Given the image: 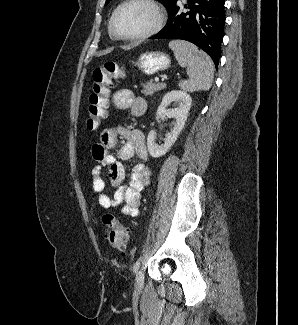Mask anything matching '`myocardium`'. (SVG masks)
Masks as SVG:
<instances>
[{
  "instance_id": "1",
  "label": "myocardium",
  "mask_w": 298,
  "mask_h": 325,
  "mask_svg": "<svg viewBox=\"0 0 298 325\" xmlns=\"http://www.w3.org/2000/svg\"><path fill=\"white\" fill-rule=\"evenodd\" d=\"M131 6H140V7H144L146 9H148L153 16V23L151 24V26L148 29H146L141 34L137 35L136 37H134L130 40H125V39L121 38L116 33L115 20H116L118 13L122 9L131 7ZM162 23H163V20H162L161 12L155 4H153L152 2L147 1V0H130V1L124 2L121 5H119L116 8V10L114 11V13L112 14L111 19H110V24H109V32H110L111 37L114 40H116L117 42H120L123 44H133V43L143 41V40L153 36L154 34H156L161 29Z\"/></svg>"
}]
</instances>
